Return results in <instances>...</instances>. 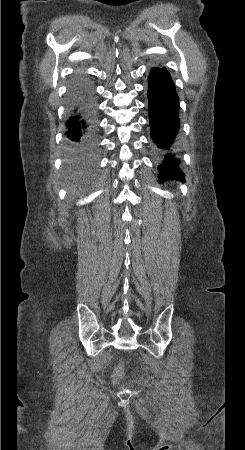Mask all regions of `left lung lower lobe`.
Wrapping results in <instances>:
<instances>
[{
    "label": "left lung lower lobe",
    "mask_w": 245,
    "mask_h": 450,
    "mask_svg": "<svg viewBox=\"0 0 245 450\" xmlns=\"http://www.w3.org/2000/svg\"><path fill=\"white\" fill-rule=\"evenodd\" d=\"M149 121L152 138L164 156L159 179L185 181L176 158V140L180 129L179 98L169 72L154 67L148 78Z\"/></svg>",
    "instance_id": "obj_1"
}]
</instances>
